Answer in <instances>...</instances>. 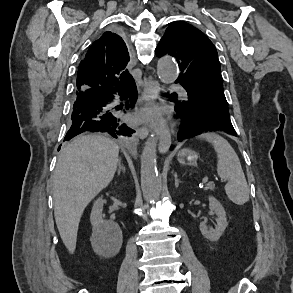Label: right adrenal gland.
I'll use <instances>...</instances> for the list:
<instances>
[{
  "mask_svg": "<svg viewBox=\"0 0 293 293\" xmlns=\"http://www.w3.org/2000/svg\"><path fill=\"white\" fill-rule=\"evenodd\" d=\"M121 171L125 173V167L121 164V160L119 159L117 174L120 175Z\"/></svg>",
  "mask_w": 293,
  "mask_h": 293,
  "instance_id": "1",
  "label": "right adrenal gland"
}]
</instances>
